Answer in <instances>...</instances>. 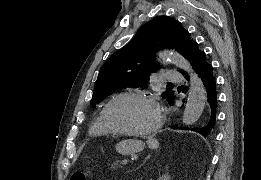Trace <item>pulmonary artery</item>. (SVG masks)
<instances>
[{
    "instance_id": "pulmonary-artery-1",
    "label": "pulmonary artery",
    "mask_w": 261,
    "mask_h": 180,
    "mask_svg": "<svg viewBox=\"0 0 261 180\" xmlns=\"http://www.w3.org/2000/svg\"><path fill=\"white\" fill-rule=\"evenodd\" d=\"M163 77H183V72H163ZM165 83H186V78H165Z\"/></svg>"
}]
</instances>
